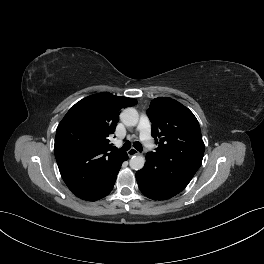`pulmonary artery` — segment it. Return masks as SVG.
Segmentation results:
<instances>
[{"label": "pulmonary artery", "instance_id": "pulmonary-artery-1", "mask_svg": "<svg viewBox=\"0 0 264 264\" xmlns=\"http://www.w3.org/2000/svg\"><path fill=\"white\" fill-rule=\"evenodd\" d=\"M137 131L140 134V139L148 149H153V141L150 133V122L146 114H142L137 126Z\"/></svg>", "mask_w": 264, "mask_h": 264}]
</instances>
